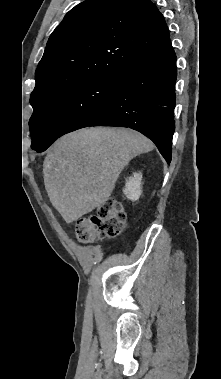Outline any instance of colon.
<instances>
[{"instance_id":"colon-1","label":"colon","mask_w":221,"mask_h":379,"mask_svg":"<svg viewBox=\"0 0 221 379\" xmlns=\"http://www.w3.org/2000/svg\"><path fill=\"white\" fill-rule=\"evenodd\" d=\"M126 222L123 205L109 200L100 205L92 215L76 222V238L79 242L88 244L100 238L113 237L123 231Z\"/></svg>"}]
</instances>
